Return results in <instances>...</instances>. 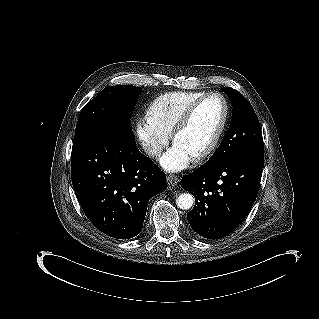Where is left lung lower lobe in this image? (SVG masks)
Returning a JSON list of instances; mask_svg holds the SVG:
<instances>
[{
	"mask_svg": "<svg viewBox=\"0 0 319 319\" xmlns=\"http://www.w3.org/2000/svg\"><path fill=\"white\" fill-rule=\"evenodd\" d=\"M263 151H251L224 162L208 163L181 179L195 197L187 219L202 239H221L248 215L263 172Z\"/></svg>",
	"mask_w": 319,
	"mask_h": 319,
	"instance_id": "obj_1",
	"label": "left lung lower lobe"
}]
</instances>
